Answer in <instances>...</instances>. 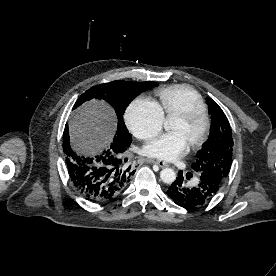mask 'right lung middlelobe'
I'll return each instance as SVG.
<instances>
[{
	"label": "right lung middle lobe",
	"instance_id": "right-lung-middle-lobe-1",
	"mask_svg": "<svg viewBox=\"0 0 276 276\" xmlns=\"http://www.w3.org/2000/svg\"><path fill=\"white\" fill-rule=\"evenodd\" d=\"M157 86L155 82H127L117 80L109 83L93 86L83 93L74 105V109L82 103L100 99L109 103L118 117V129L114 142L131 143L132 138L123 121V114L130 102L140 93Z\"/></svg>",
	"mask_w": 276,
	"mask_h": 276
}]
</instances>
